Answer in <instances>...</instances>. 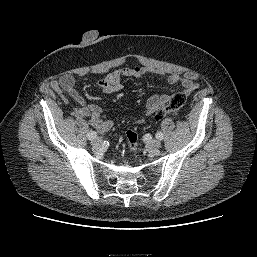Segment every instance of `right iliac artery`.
<instances>
[{
    "instance_id": "right-iliac-artery-1",
    "label": "right iliac artery",
    "mask_w": 257,
    "mask_h": 257,
    "mask_svg": "<svg viewBox=\"0 0 257 257\" xmlns=\"http://www.w3.org/2000/svg\"><path fill=\"white\" fill-rule=\"evenodd\" d=\"M96 137H97V133H96L95 131H90V132H88V134H87V138H88L89 140H94Z\"/></svg>"
}]
</instances>
